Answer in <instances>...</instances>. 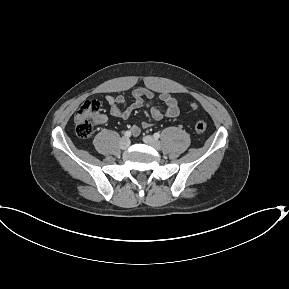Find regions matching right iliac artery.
Wrapping results in <instances>:
<instances>
[{
	"label": "right iliac artery",
	"mask_w": 289,
	"mask_h": 289,
	"mask_svg": "<svg viewBox=\"0 0 289 289\" xmlns=\"http://www.w3.org/2000/svg\"><path fill=\"white\" fill-rule=\"evenodd\" d=\"M124 135H125V137H130L131 136V131H126L125 133H124Z\"/></svg>",
	"instance_id": "1"
}]
</instances>
